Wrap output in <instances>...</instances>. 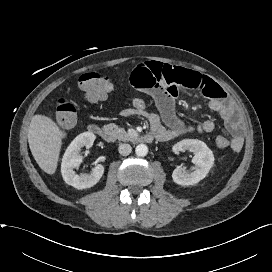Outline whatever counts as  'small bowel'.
<instances>
[{
  "mask_svg": "<svg viewBox=\"0 0 272 272\" xmlns=\"http://www.w3.org/2000/svg\"><path fill=\"white\" fill-rule=\"evenodd\" d=\"M130 81L138 90L153 98L159 114L131 107L122 110L121 115L145 118L157 140L169 141L189 134L210 133L215 129V123L210 119L189 123L178 117L175 97L184 91L193 90L206 96L210 108L224 120L231 134L230 147L236 152L242 149L244 137L237 110L223 88L210 78L190 69L147 61L134 68Z\"/></svg>",
  "mask_w": 272,
  "mask_h": 272,
  "instance_id": "obj_1",
  "label": "small bowel"
}]
</instances>
